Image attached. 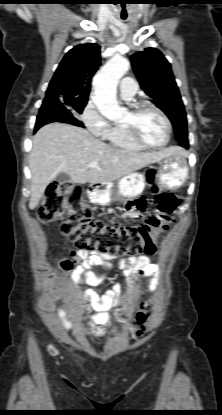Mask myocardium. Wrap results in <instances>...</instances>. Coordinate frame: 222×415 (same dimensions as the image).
I'll return each mask as SVG.
<instances>
[{
  "label": "myocardium",
  "mask_w": 222,
  "mask_h": 415,
  "mask_svg": "<svg viewBox=\"0 0 222 415\" xmlns=\"http://www.w3.org/2000/svg\"><path fill=\"white\" fill-rule=\"evenodd\" d=\"M145 109H152L154 111H156L164 120L165 124H166V129H167V134H166V138L165 141L161 144H150L148 142H146L140 135L138 128L136 126L135 123V119L139 116V114L144 111ZM130 113L132 115V120L128 121V122H124L123 125L126 128V130L128 131L130 137L140 146H142L143 148H147V149H161L166 147L170 141H171V136H172V123L170 118L168 117V115L158 106H156L155 104L151 103V102H147V101H143V102H139L136 103L132 106Z\"/></svg>",
  "instance_id": "f54148a6"
}]
</instances>
